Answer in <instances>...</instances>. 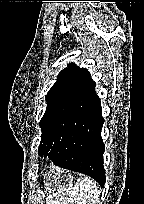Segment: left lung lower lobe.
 Here are the masks:
<instances>
[{
    "label": "left lung lower lobe",
    "instance_id": "1",
    "mask_svg": "<svg viewBox=\"0 0 144 204\" xmlns=\"http://www.w3.org/2000/svg\"><path fill=\"white\" fill-rule=\"evenodd\" d=\"M94 87L93 83L88 89L84 102L68 125L64 139L42 158L48 157L57 166L86 174L103 187L105 147L101 129L104 119L101 114L100 98Z\"/></svg>",
    "mask_w": 144,
    "mask_h": 204
}]
</instances>
